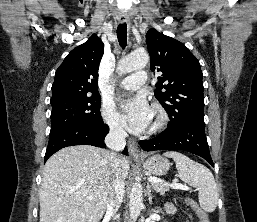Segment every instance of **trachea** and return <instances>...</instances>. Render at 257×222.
<instances>
[{
  "label": "trachea",
  "mask_w": 257,
  "mask_h": 222,
  "mask_svg": "<svg viewBox=\"0 0 257 222\" xmlns=\"http://www.w3.org/2000/svg\"><path fill=\"white\" fill-rule=\"evenodd\" d=\"M117 38L122 48L126 47L127 44V25L126 23L119 24L117 27Z\"/></svg>",
  "instance_id": "trachea-1"
}]
</instances>
